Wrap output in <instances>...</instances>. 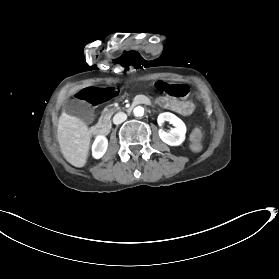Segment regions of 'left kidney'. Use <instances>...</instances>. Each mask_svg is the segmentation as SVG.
Listing matches in <instances>:
<instances>
[{"label": "left kidney", "mask_w": 279, "mask_h": 279, "mask_svg": "<svg viewBox=\"0 0 279 279\" xmlns=\"http://www.w3.org/2000/svg\"><path fill=\"white\" fill-rule=\"evenodd\" d=\"M157 121L159 125H162L165 121H168L175 127L169 132H166L163 129L159 130V137L163 142L171 146H177L185 140L186 125L176 115L170 112H164L159 114Z\"/></svg>", "instance_id": "5707ae66"}]
</instances>
